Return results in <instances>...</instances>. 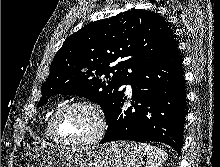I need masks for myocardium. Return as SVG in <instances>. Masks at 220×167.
I'll return each instance as SVG.
<instances>
[{"label":"myocardium","instance_id":"1","mask_svg":"<svg viewBox=\"0 0 220 167\" xmlns=\"http://www.w3.org/2000/svg\"><path fill=\"white\" fill-rule=\"evenodd\" d=\"M70 107L84 108L88 110L94 116L96 120V128L92 132L91 135H89L88 137H85L82 139H76V140H63L57 136L56 126H55L57 117L60 115L61 112H63L65 109L70 108ZM107 128H108L107 119H106V116L103 110H101L96 105L88 101H84V100H73V101L64 103L53 113V115L50 118V122H49V131H50L52 140H54L56 143L60 145L70 146V147L89 146V145L99 142L106 134Z\"/></svg>","mask_w":220,"mask_h":167}]
</instances>
